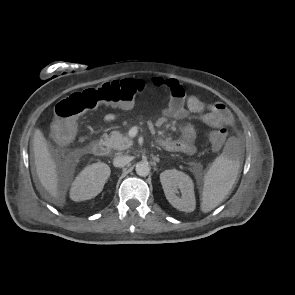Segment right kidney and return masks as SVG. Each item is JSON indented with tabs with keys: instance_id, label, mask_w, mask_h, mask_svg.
I'll return each mask as SVG.
<instances>
[{
	"instance_id": "obj_1",
	"label": "right kidney",
	"mask_w": 295,
	"mask_h": 295,
	"mask_svg": "<svg viewBox=\"0 0 295 295\" xmlns=\"http://www.w3.org/2000/svg\"><path fill=\"white\" fill-rule=\"evenodd\" d=\"M110 172L109 166L102 162L85 167L72 183L71 199L78 202L97 196L102 191Z\"/></svg>"
}]
</instances>
